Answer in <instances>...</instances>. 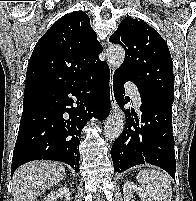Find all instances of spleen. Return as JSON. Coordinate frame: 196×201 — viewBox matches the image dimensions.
I'll return each mask as SVG.
<instances>
[{
	"instance_id": "spleen-1",
	"label": "spleen",
	"mask_w": 196,
	"mask_h": 201,
	"mask_svg": "<svg viewBox=\"0 0 196 201\" xmlns=\"http://www.w3.org/2000/svg\"><path fill=\"white\" fill-rule=\"evenodd\" d=\"M137 179L145 193L153 201H171V181L166 174L153 169L142 170Z\"/></svg>"
}]
</instances>
